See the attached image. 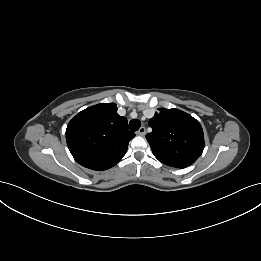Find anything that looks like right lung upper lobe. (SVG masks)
Segmentation results:
<instances>
[{"mask_svg": "<svg viewBox=\"0 0 261 261\" xmlns=\"http://www.w3.org/2000/svg\"><path fill=\"white\" fill-rule=\"evenodd\" d=\"M134 136L128 130L127 119L117 114L114 103H101L81 111L66 129L67 145L74 159L97 171L115 166Z\"/></svg>", "mask_w": 261, "mask_h": 261, "instance_id": "cb5924a9", "label": "right lung upper lobe"}]
</instances>
